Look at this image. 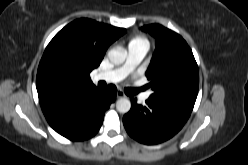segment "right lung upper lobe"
<instances>
[{"label":"right lung upper lobe","mask_w":248,"mask_h":165,"mask_svg":"<svg viewBox=\"0 0 248 165\" xmlns=\"http://www.w3.org/2000/svg\"><path fill=\"white\" fill-rule=\"evenodd\" d=\"M124 28L81 18L60 30L40 61L36 86L44 115L68 108L98 88L90 72L98 67L109 45Z\"/></svg>","instance_id":"right-lung-upper-lobe-1"}]
</instances>
